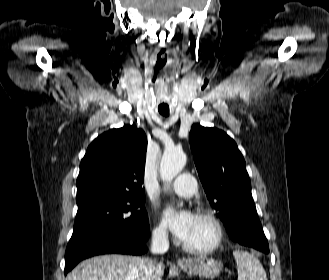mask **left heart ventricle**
<instances>
[{"mask_svg":"<svg viewBox=\"0 0 329 280\" xmlns=\"http://www.w3.org/2000/svg\"><path fill=\"white\" fill-rule=\"evenodd\" d=\"M213 237L212 227L204 219L196 215L192 229L184 242L190 246L203 247L211 243Z\"/></svg>","mask_w":329,"mask_h":280,"instance_id":"1","label":"left heart ventricle"}]
</instances>
